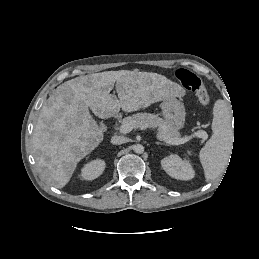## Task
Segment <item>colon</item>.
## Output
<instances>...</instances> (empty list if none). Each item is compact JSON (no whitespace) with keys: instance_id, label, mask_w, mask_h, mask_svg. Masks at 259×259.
Listing matches in <instances>:
<instances>
[{"instance_id":"colon-1","label":"colon","mask_w":259,"mask_h":259,"mask_svg":"<svg viewBox=\"0 0 259 259\" xmlns=\"http://www.w3.org/2000/svg\"><path fill=\"white\" fill-rule=\"evenodd\" d=\"M176 77L186 89L195 93L199 103L203 107L208 106L210 102L209 93L200 77L185 68L178 69Z\"/></svg>"}]
</instances>
